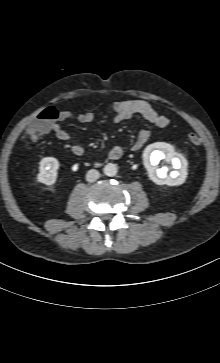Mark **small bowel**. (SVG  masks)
I'll list each match as a JSON object with an SVG mask.
<instances>
[{
  "instance_id": "1",
  "label": "small bowel",
  "mask_w": 220,
  "mask_h": 363,
  "mask_svg": "<svg viewBox=\"0 0 220 363\" xmlns=\"http://www.w3.org/2000/svg\"><path fill=\"white\" fill-rule=\"evenodd\" d=\"M113 110L114 121L117 123L136 115L142 117L144 120L159 129L166 128L170 122L166 116L159 114L148 103L139 100L117 101L113 104ZM70 119H75L80 123H90L93 121L94 115L89 111L79 114H73L69 111H61L59 113L58 121L54 122L52 125V130L59 140H69V134L64 129H62L59 121ZM150 136L151 132L149 130H142L132 144L131 149L133 151H138L143 148L150 139ZM71 150L77 156H81L84 153V147L81 144L72 145ZM122 153L123 148L121 146H114L110 149L108 156L112 159H117L122 155Z\"/></svg>"
}]
</instances>
